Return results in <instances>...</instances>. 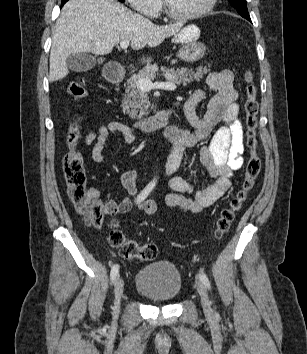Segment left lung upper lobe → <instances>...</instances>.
Segmentation results:
<instances>
[{
    "label": "left lung upper lobe",
    "mask_w": 307,
    "mask_h": 354,
    "mask_svg": "<svg viewBox=\"0 0 307 354\" xmlns=\"http://www.w3.org/2000/svg\"><path fill=\"white\" fill-rule=\"evenodd\" d=\"M231 5L236 8V10L238 11V13L246 18V19H250L248 10H247V1L246 0H228Z\"/></svg>",
    "instance_id": "obj_1"
}]
</instances>
